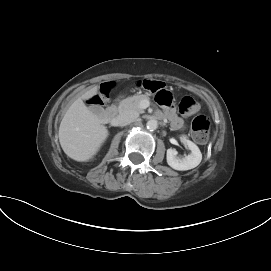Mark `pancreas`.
<instances>
[{"instance_id":"obj_1","label":"pancreas","mask_w":271,"mask_h":271,"mask_svg":"<svg viewBox=\"0 0 271 271\" xmlns=\"http://www.w3.org/2000/svg\"><path fill=\"white\" fill-rule=\"evenodd\" d=\"M147 95H134L131 97H127L126 99H123L118 106V111H127L132 110L137 113H143L144 110L141 108L140 103L144 100H148Z\"/></svg>"}]
</instances>
